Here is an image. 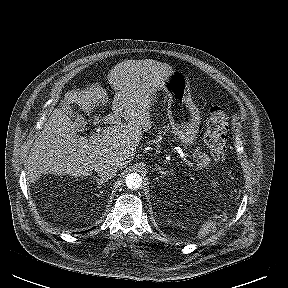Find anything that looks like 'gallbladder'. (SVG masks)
Instances as JSON below:
<instances>
[{"label":"gallbladder","instance_id":"obj_1","mask_svg":"<svg viewBox=\"0 0 288 288\" xmlns=\"http://www.w3.org/2000/svg\"><path fill=\"white\" fill-rule=\"evenodd\" d=\"M61 107L74 120V125L76 128L82 129L85 127L86 122L81 115H79L78 113L74 112L71 108H69L65 102L61 104Z\"/></svg>","mask_w":288,"mask_h":288}]
</instances>
